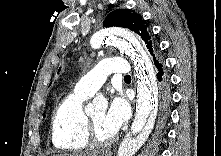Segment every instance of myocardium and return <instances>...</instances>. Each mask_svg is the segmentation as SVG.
Here are the masks:
<instances>
[{
	"mask_svg": "<svg viewBox=\"0 0 221 156\" xmlns=\"http://www.w3.org/2000/svg\"><path fill=\"white\" fill-rule=\"evenodd\" d=\"M84 135L85 139L89 144L96 146H107L112 144L116 140L115 134L106 139L99 137V135L96 132L95 126L93 124V121L87 115H85V121H84Z\"/></svg>",
	"mask_w": 221,
	"mask_h": 156,
	"instance_id": "f54148a6",
	"label": "myocardium"
}]
</instances>
